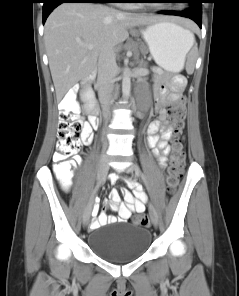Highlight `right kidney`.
<instances>
[{
    "label": "right kidney",
    "instance_id": "obj_1",
    "mask_svg": "<svg viewBox=\"0 0 239 296\" xmlns=\"http://www.w3.org/2000/svg\"><path fill=\"white\" fill-rule=\"evenodd\" d=\"M82 101L85 103L84 108L88 111L92 110L95 106V94L91 87H87L82 95Z\"/></svg>",
    "mask_w": 239,
    "mask_h": 296
}]
</instances>
